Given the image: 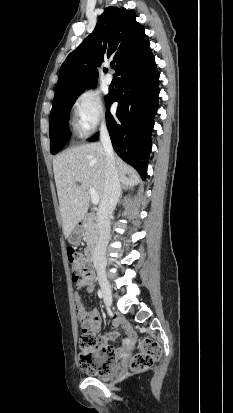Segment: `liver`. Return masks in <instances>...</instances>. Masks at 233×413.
Returning <instances> with one entry per match:
<instances>
[{"instance_id": "obj_1", "label": "liver", "mask_w": 233, "mask_h": 413, "mask_svg": "<svg viewBox=\"0 0 233 413\" xmlns=\"http://www.w3.org/2000/svg\"><path fill=\"white\" fill-rule=\"evenodd\" d=\"M115 165L122 185L133 186L140 181L138 174L118 156H115ZM106 166V154L102 143L68 148L53 160L65 238H68L87 213L90 187L94 188L102 199Z\"/></svg>"}]
</instances>
